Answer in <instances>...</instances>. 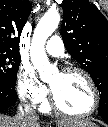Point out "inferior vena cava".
Returning <instances> with one entry per match:
<instances>
[{
    "mask_svg": "<svg viewBox=\"0 0 108 127\" xmlns=\"http://www.w3.org/2000/svg\"><path fill=\"white\" fill-rule=\"evenodd\" d=\"M19 117H26L29 116L32 120L37 121L38 120V116L37 114H35L34 112H32L31 108L26 105L24 108L22 105L19 106V111L17 114Z\"/></svg>",
    "mask_w": 108,
    "mask_h": 127,
    "instance_id": "inferior-vena-cava-1",
    "label": "inferior vena cava"
}]
</instances>
